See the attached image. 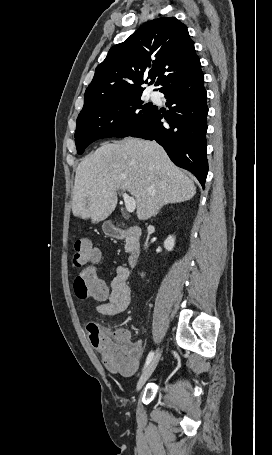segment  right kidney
I'll list each match as a JSON object with an SVG mask.
<instances>
[{"label": "right kidney", "mask_w": 272, "mask_h": 455, "mask_svg": "<svg viewBox=\"0 0 272 455\" xmlns=\"http://www.w3.org/2000/svg\"><path fill=\"white\" fill-rule=\"evenodd\" d=\"M175 245V238L173 236H168L164 241V248L167 251H172Z\"/></svg>", "instance_id": "obj_1"}]
</instances>
